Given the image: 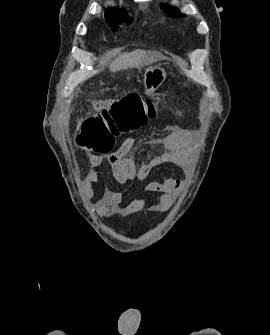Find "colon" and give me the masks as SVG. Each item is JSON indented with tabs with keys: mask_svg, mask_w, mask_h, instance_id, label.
I'll return each instance as SVG.
<instances>
[{
	"mask_svg": "<svg viewBox=\"0 0 270 335\" xmlns=\"http://www.w3.org/2000/svg\"><path fill=\"white\" fill-rule=\"evenodd\" d=\"M112 106L109 111H99V116H90L83 122L77 137L80 148L100 155L108 154L112 146L111 137L136 132L158 114L152 100L135 93L113 101Z\"/></svg>",
	"mask_w": 270,
	"mask_h": 335,
	"instance_id": "5ec220e1",
	"label": "colon"
}]
</instances>
